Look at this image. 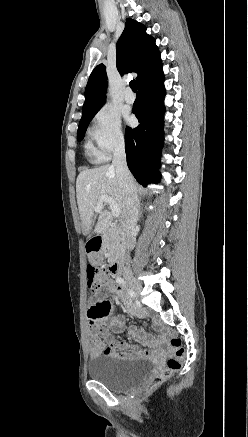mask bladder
I'll use <instances>...</instances> for the list:
<instances>
[{
    "label": "bladder",
    "mask_w": 248,
    "mask_h": 437,
    "mask_svg": "<svg viewBox=\"0 0 248 437\" xmlns=\"http://www.w3.org/2000/svg\"><path fill=\"white\" fill-rule=\"evenodd\" d=\"M156 372L155 364L146 358L103 356L88 370L91 379L109 389L123 391L149 379Z\"/></svg>",
    "instance_id": "obj_1"
}]
</instances>
